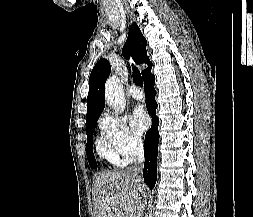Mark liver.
<instances>
[{
    "instance_id": "obj_1",
    "label": "liver",
    "mask_w": 253,
    "mask_h": 217,
    "mask_svg": "<svg viewBox=\"0 0 253 217\" xmlns=\"http://www.w3.org/2000/svg\"><path fill=\"white\" fill-rule=\"evenodd\" d=\"M133 181L126 171L96 176L92 189L94 217H139L142 208Z\"/></svg>"
}]
</instances>
